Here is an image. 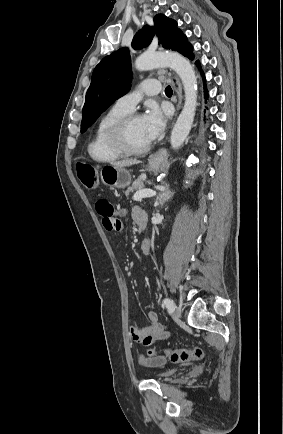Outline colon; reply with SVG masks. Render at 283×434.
<instances>
[{"label":"colon","mask_w":283,"mask_h":434,"mask_svg":"<svg viewBox=\"0 0 283 434\" xmlns=\"http://www.w3.org/2000/svg\"><path fill=\"white\" fill-rule=\"evenodd\" d=\"M77 174L82 184L89 188L94 189L98 184L96 170L88 164H79L77 166ZM157 354L155 349H149L148 355L154 356ZM165 354L174 363H186L193 360H201L205 357V350L199 347L194 349H166Z\"/></svg>","instance_id":"1"}]
</instances>
